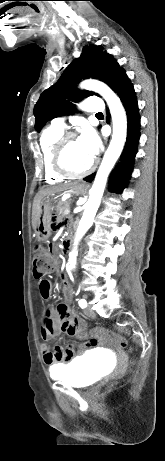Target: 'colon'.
<instances>
[{
	"instance_id": "colon-1",
	"label": "colon",
	"mask_w": 165,
	"mask_h": 461,
	"mask_svg": "<svg viewBox=\"0 0 165 461\" xmlns=\"http://www.w3.org/2000/svg\"><path fill=\"white\" fill-rule=\"evenodd\" d=\"M53 267L54 263L52 258L50 257L48 249L44 246H37L35 248L33 257V276L36 279H39L44 275L50 273L53 270ZM95 336H98L100 340H109L121 348H125L127 346L125 338L120 335H117L111 330L96 329L94 333L90 335V343L92 342ZM81 344L82 343L80 342V346ZM97 344L98 343L92 345L90 344V346H94ZM66 349L68 351H72L74 349V346L72 344H68L66 346Z\"/></svg>"
}]
</instances>
